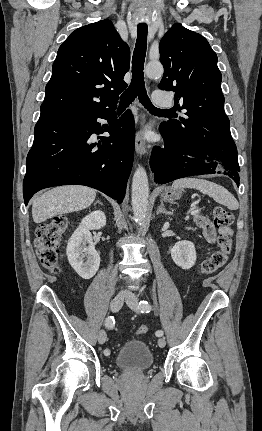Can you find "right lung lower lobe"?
Wrapping results in <instances>:
<instances>
[{
    "mask_svg": "<svg viewBox=\"0 0 262 431\" xmlns=\"http://www.w3.org/2000/svg\"><path fill=\"white\" fill-rule=\"evenodd\" d=\"M98 118L110 127L103 129ZM107 131L109 137L92 135ZM26 160L25 205L39 190L78 184L98 189L121 203L134 155V118L127 110L116 120L114 110L98 114L40 116Z\"/></svg>",
    "mask_w": 262,
    "mask_h": 431,
    "instance_id": "1",
    "label": "right lung lower lobe"
}]
</instances>
